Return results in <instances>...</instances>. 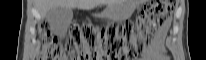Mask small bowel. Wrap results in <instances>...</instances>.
Returning a JSON list of instances; mask_svg holds the SVG:
<instances>
[{"instance_id":"small-bowel-1","label":"small bowel","mask_w":206,"mask_h":60,"mask_svg":"<svg viewBox=\"0 0 206 60\" xmlns=\"http://www.w3.org/2000/svg\"><path fill=\"white\" fill-rule=\"evenodd\" d=\"M168 24L160 26L152 42V47L149 56L153 59L164 60L166 55L164 53L163 41L167 33Z\"/></svg>"}]
</instances>
